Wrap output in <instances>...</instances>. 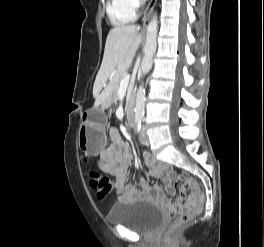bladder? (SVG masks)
Instances as JSON below:
<instances>
[{"label": "bladder", "mask_w": 264, "mask_h": 247, "mask_svg": "<svg viewBox=\"0 0 264 247\" xmlns=\"http://www.w3.org/2000/svg\"><path fill=\"white\" fill-rule=\"evenodd\" d=\"M165 212L145 201H121L112 205L107 219L129 229L148 234L160 228L165 222Z\"/></svg>", "instance_id": "bladder-1"}]
</instances>
